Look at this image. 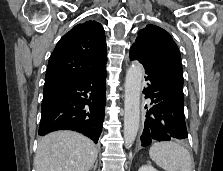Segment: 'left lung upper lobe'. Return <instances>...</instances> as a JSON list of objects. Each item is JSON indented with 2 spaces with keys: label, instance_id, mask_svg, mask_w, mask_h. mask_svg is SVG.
<instances>
[{
  "label": "left lung upper lobe",
  "instance_id": "1",
  "mask_svg": "<svg viewBox=\"0 0 223 171\" xmlns=\"http://www.w3.org/2000/svg\"><path fill=\"white\" fill-rule=\"evenodd\" d=\"M132 47L183 81L180 52L167 31L149 24L145 29L139 31Z\"/></svg>",
  "mask_w": 223,
  "mask_h": 171
}]
</instances>
